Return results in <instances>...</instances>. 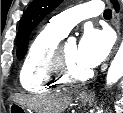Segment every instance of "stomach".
Here are the masks:
<instances>
[{"mask_svg": "<svg viewBox=\"0 0 123 113\" xmlns=\"http://www.w3.org/2000/svg\"><path fill=\"white\" fill-rule=\"evenodd\" d=\"M77 99L79 101H81L83 104H86L90 100V97H87V96H84V95L80 94L77 97ZM9 110H10V113L11 112H19V113H24L25 112L24 108L21 105L17 104V103H11L10 106H9Z\"/></svg>", "mask_w": 123, "mask_h": 113, "instance_id": "stomach-1", "label": "stomach"}]
</instances>
